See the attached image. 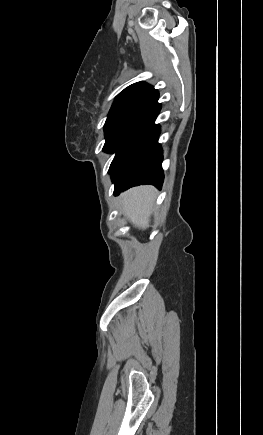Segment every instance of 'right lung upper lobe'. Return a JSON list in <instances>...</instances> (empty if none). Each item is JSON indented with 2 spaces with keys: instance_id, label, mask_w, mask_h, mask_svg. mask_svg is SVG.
<instances>
[{
  "instance_id": "cb5924a9",
  "label": "right lung upper lobe",
  "mask_w": 263,
  "mask_h": 435,
  "mask_svg": "<svg viewBox=\"0 0 263 435\" xmlns=\"http://www.w3.org/2000/svg\"><path fill=\"white\" fill-rule=\"evenodd\" d=\"M159 93L153 86L138 82L128 86L116 98L113 106L119 105H142L146 106L152 100L157 98Z\"/></svg>"
}]
</instances>
